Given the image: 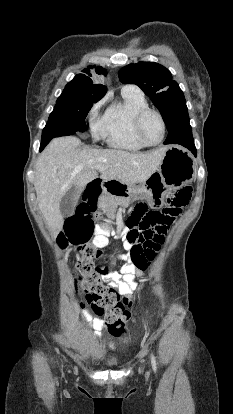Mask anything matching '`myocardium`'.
<instances>
[{"mask_svg":"<svg viewBox=\"0 0 233 414\" xmlns=\"http://www.w3.org/2000/svg\"><path fill=\"white\" fill-rule=\"evenodd\" d=\"M150 114L156 115L159 118L160 122H161V126H162V136H161L160 140L157 141V142H151V141H149L148 138L145 136L144 131H143V123H144V120ZM135 130H136L137 135L139 136V138L144 143H146L147 145H149V146L158 145L165 138V135H166V122H165V119H164L163 115L161 114V112H159L158 110L153 109V108H146V109L140 111L137 114V116L135 118Z\"/></svg>","mask_w":233,"mask_h":414,"instance_id":"obj_1","label":"myocardium"}]
</instances>
